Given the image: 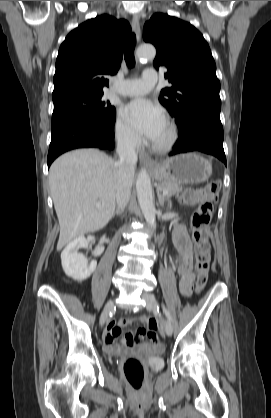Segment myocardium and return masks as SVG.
Listing matches in <instances>:
<instances>
[{"label": "myocardium", "mask_w": 271, "mask_h": 418, "mask_svg": "<svg viewBox=\"0 0 271 418\" xmlns=\"http://www.w3.org/2000/svg\"><path fill=\"white\" fill-rule=\"evenodd\" d=\"M166 124L169 129V135L167 139L161 143L153 142L151 146L152 150L157 153L168 152L169 150L172 149V147L174 146V144L176 143L178 139V130H177L175 123L171 120H167Z\"/></svg>", "instance_id": "f54148a6"}]
</instances>
